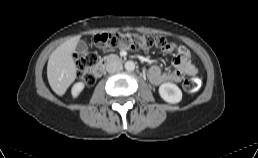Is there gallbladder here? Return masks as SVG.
Returning a JSON list of instances; mask_svg holds the SVG:
<instances>
[{"label": "gallbladder", "instance_id": "bac80fb5", "mask_svg": "<svg viewBox=\"0 0 258 158\" xmlns=\"http://www.w3.org/2000/svg\"><path fill=\"white\" fill-rule=\"evenodd\" d=\"M88 47L86 42H84L83 40L79 41L77 46H76V53L79 55H85L87 53Z\"/></svg>", "mask_w": 258, "mask_h": 158}]
</instances>
